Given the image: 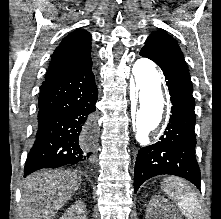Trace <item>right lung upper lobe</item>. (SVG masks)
I'll return each instance as SVG.
<instances>
[{"mask_svg": "<svg viewBox=\"0 0 221 219\" xmlns=\"http://www.w3.org/2000/svg\"><path fill=\"white\" fill-rule=\"evenodd\" d=\"M91 34L76 29L55 49L45 79L69 73L91 60Z\"/></svg>", "mask_w": 221, "mask_h": 219, "instance_id": "obj_1", "label": "right lung upper lobe"}]
</instances>
